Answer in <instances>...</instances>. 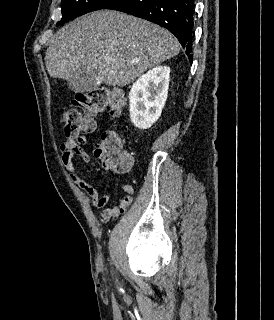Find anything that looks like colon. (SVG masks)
Wrapping results in <instances>:
<instances>
[{
	"label": "colon",
	"instance_id": "colon-1",
	"mask_svg": "<svg viewBox=\"0 0 274 320\" xmlns=\"http://www.w3.org/2000/svg\"><path fill=\"white\" fill-rule=\"evenodd\" d=\"M122 105L124 104L118 92L110 88H94L77 94L72 101L73 107L65 108L61 116L65 136L86 134L87 120H94L97 114L107 109L118 114ZM96 149L98 155L106 160L104 164L106 168L113 167L118 172L131 168L132 157L124 152V141L118 132L103 131L96 144Z\"/></svg>",
	"mask_w": 274,
	"mask_h": 320
}]
</instances>
